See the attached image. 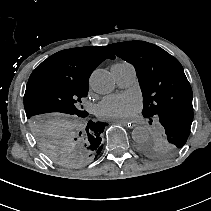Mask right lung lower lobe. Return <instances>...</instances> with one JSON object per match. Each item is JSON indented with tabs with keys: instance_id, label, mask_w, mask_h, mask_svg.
<instances>
[{
	"instance_id": "right-lung-lower-lobe-1",
	"label": "right lung lower lobe",
	"mask_w": 211,
	"mask_h": 211,
	"mask_svg": "<svg viewBox=\"0 0 211 211\" xmlns=\"http://www.w3.org/2000/svg\"><path fill=\"white\" fill-rule=\"evenodd\" d=\"M102 147H103V145L101 144L100 147H99V149H98V151H97L99 154H100V152L102 150Z\"/></svg>"
}]
</instances>
